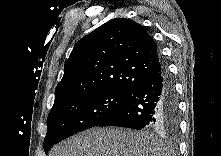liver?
Masks as SVG:
<instances>
[{"mask_svg": "<svg viewBox=\"0 0 221 156\" xmlns=\"http://www.w3.org/2000/svg\"><path fill=\"white\" fill-rule=\"evenodd\" d=\"M165 144L145 131L92 128L55 146L49 156H165Z\"/></svg>", "mask_w": 221, "mask_h": 156, "instance_id": "1", "label": "liver"}]
</instances>
